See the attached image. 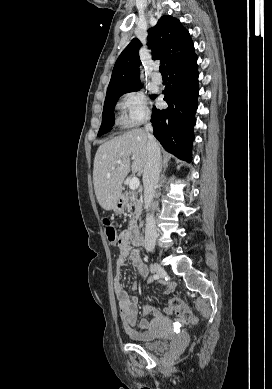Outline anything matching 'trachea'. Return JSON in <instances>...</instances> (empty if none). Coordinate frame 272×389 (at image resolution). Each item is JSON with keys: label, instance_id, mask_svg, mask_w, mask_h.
<instances>
[{"label": "trachea", "instance_id": "3493384b", "mask_svg": "<svg viewBox=\"0 0 272 389\" xmlns=\"http://www.w3.org/2000/svg\"><path fill=\"white\" fill-rule=\"evenodd\" d=\"M159 69L162 75H167L165 65L162 64Z\"/></svg>", "mask_w": 272, "mask_h": 389}]
</instances>
